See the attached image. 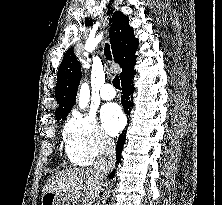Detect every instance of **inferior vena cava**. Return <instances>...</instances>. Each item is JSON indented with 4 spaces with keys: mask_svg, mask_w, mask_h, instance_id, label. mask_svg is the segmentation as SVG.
Wrapping results in <instances>:
<instances>
[{
    "mask_svg": "<svg viewBox=\"0 0 222 205\" xmlns=\"http://www.w3.org/2000/svg\"><path fill=\"white\" fill-rule=\"evenodd\" d=\"M115 162V143L110 138H106L103 142L102 151L94 164V171L102 179H105L114 169Z\"/></svg>",
    "mask_w": 222,
    "mask_h": 205,
    "instance_id": "inferior-vena-cava-1",
    "label": "inferior vena cava"
}]
</instances>
